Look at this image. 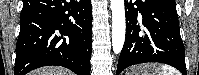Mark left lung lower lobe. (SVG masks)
Returning a JSON list of instances; mask_svg holds the SVG:
<instances>
[{
  "label": "left lung lower lobe",
  "instance_id": "0a47b994",
  "mask_svg": "<svg viewBox=\"0 0 199 75\" xmlns=\"http://www.w3.org/2000/svg\"><path fill=\"white\" fill-rule=\"evenodd\" d=\"M125 10L126 37L117 75L131 65L146 62L165 63L186 75L175 0H127ZM138 13L142 19H137Z\"/></svg>",
  "mask_w": 199,
  "mask_h": 75
}]
</instances>
